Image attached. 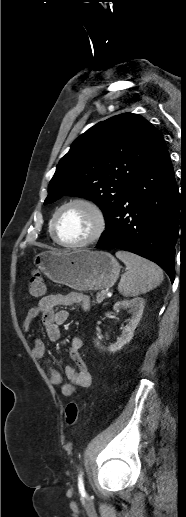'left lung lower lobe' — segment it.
<instances>
[{
	"label": "left lung lower lobe",
	"mask_w": 186,
	"mask_h": 517,
	"mask_svg": "<svg viewBox=\"0 0 186 517\" xmlns=\"http://www.w3.org/2000/svg\"><path fill=\"white\" fill-rule=\"evenodd\" d=\"M170 156L163 142L106 223L96 247L118 248L157 263L175 279L180 206Z\"/></svg>",
	"instance_id": "obj_1"
}]
</instances>
